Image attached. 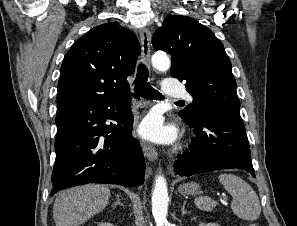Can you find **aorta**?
Instances as JSON below:
<instances>
[{
	"instance_id": "aorta-1",
	"label": "aorta",
	"mask_w": 297,
	"mask_h": 226,
	"mask_svg": "<svg viewBox=\"0 0 297 226\" xmlns=\"http://www.w3.org/2000/svg\"><path fill=\"white\" fill-rule=\"evenodd\" d=\"M152 65L155 69L166 71L170 67L169 57L162 52L152 56ZM168 209V189L165 178L158 175L155 179V187L152 193V213L157 226H166Z\"/></svg>"
}]
</instances>
